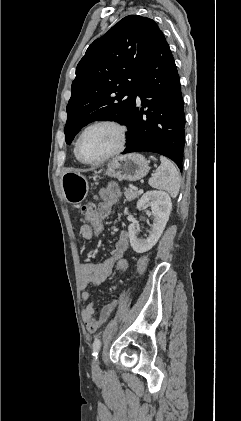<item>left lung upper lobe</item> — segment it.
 Returning <instances> with one entry per match:
<instances>
[{"mask_svg":"<svg viewBox=\"0 0 241 421\" xmlns=\"http://www.w3.org/2000/svg\"><path fill=\"white\" fill-rule=\"evenodd\" d=\"M160 31L152 19L129 15L88 47L77 65L67 105V144L95 120L129 127L138 77Z\"/></svg>","mask_w":241,"mask_h":421,"instance_id":"5c2ea615","label":"left lung upper lobe"}]
</instances>
